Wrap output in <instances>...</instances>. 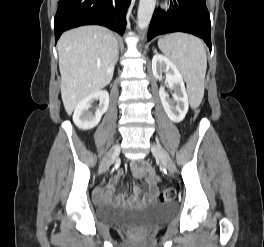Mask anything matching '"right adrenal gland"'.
<instances>
[{
    "instance_id": "1",
    "label": "right adrenal gland",
    "mask_w": 264,
    "mask_h": 247,
    "mask_svg": "<svg viewBox=\"0 0 264 247\" xmlns=\"http://www.w3.org/2000/svg\"><path fill=\"white\" fill-rule=\"evenodd\" d=\"M118 57H119V54L117 55V57L115 59V64H117V62H118Z\"/></svg>"
}]
</instances>
